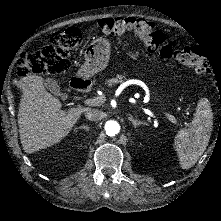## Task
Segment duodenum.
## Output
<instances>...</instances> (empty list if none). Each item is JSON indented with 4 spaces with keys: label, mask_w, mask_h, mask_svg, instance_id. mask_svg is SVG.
Wrapping results in <instances>:
<instances>
[{
    "label": "duodenum",
    "mask_w": 221,
    "mask_h": 221,
    "mask_svg": "<svg viewBox=\"0 0 221 221\" xmlns=\"http://www.w3.org/2000/svg\"><path fill=\"white\" fill-rule=\"evenodd\" d=\"M73 87L79 92H86L88 90V82L83 78H78L73 81Z\"/></svg>",
    "instance_id": "duodenum-1"
}]
</instances>
